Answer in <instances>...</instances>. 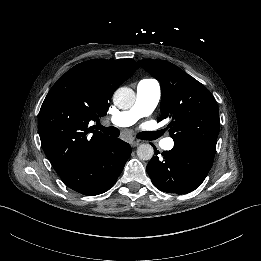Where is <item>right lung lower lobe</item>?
I'll return each instance as SVG.
<instances>
[{"label": "right lung lower lobe", "instance_id": "98d812e1", "mask_svg": "<svg viewBox=\"0 0 261 261\" xmlns=\"http://www.w3.org/2000/svg\"><path fill=\"white\" fill-rule=\"evenodd\" d=\"M130 154L129 144L110 137L99 151L61 179L69 188L86 196L104 193L114 185Z\"/></svg>", "mask_w": 261, "mask_h": 261}]
</instances>
